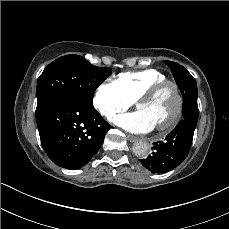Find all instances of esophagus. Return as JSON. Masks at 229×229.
<instances>
[{
	"label": "esophagus",
	"instance_id": "1",
	"mask_svg": "<svg viewBox=\"0 0 229 229\" xmlns=\"http://www.w3.org/2000/svg\"><path fill=\"white\" fill-rule=\"evenodd\" d=\"M127 139L130 141V142H135L138 140L137 137H135L134 135H131V134H127Z\"/></svg>",
	"mask_w": 229,
	"mask_h": 229
}]
</instances>
